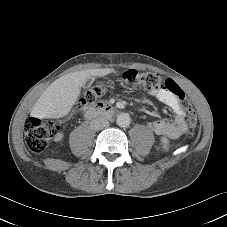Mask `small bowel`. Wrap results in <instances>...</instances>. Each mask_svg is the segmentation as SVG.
Masks as SVG:
<instances>
[{
  "label": "small bowel",
  "instance_id": "obj_1",
  "mask_svg": "<svg viewBox=\"0 0 227 227\" xmlns=\"http://www.w3.org/2000/svg\"><path fill=\"white\" fill-rule=\"evenodd\" d=\"M146 95L153 96L158 101L164 103L174 114L172 121L163 119L155 120L152 123V130L157 135L165 136L171 139H176L182 136L187 130L186 113L180 106L176 96L167 90L153 92L152 89H147ZM61 138V134L56 135V140H60Z\"/></svg>",
  "mask_w": 227,
  "mask_h": 227
}]
</instances>
